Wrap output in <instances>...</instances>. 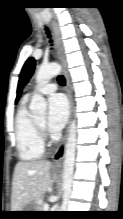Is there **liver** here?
Segmentation results:
<instances>
[{
	"mask_svg": "<svg viewBox=\"0 0 123 219\" xmlns=\"http://www.w3.org/2000/svg\"><path fill=\"white\" fill-rule=\"evenodd\" d=\"M51 163L38 160L16 164L11 196V211H22L29 203L37 200L55 182L50 172Z\"/></svg>",
	"mask_w": 123,
	"mask_h": 219,
	"instance_id": "liver-1",
	"label": "liver"
}]
</instances>
